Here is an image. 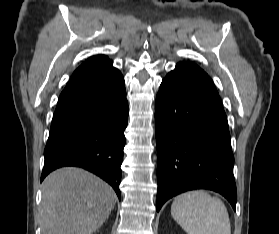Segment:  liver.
I'll list each match as a JSON object with an SVG mask.
<instances>
[{
	"label": "liver",
	"instance_id": "1",
	"mask_svg": "<svg viewBox=\"0 0 279 234\" xmlns=\"http://www.w3.org/2000/svg\"><path fill=\"white\" fill-rule=\"evenodd\" d=\"M115 203V192L99 177L74 167L58 169L43 182L42 234H92Z\"/></svg>",
	"mask_w": 279,
	"mask_h": 234
}]
</instances>
